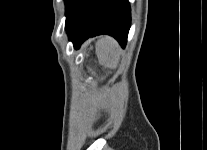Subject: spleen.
I'll list each match as a JSON object with an SVG mask.
<instances>
[{
    "mask_svg": "<svg viewBox=\"0 0 207 150\" xmlns=\"http://www.w3.org/2000/svg\"><path fill=\"white\" fill-rule=\"evenodd\" d=\"M96 54L101 63L116 68L119 62L120 48L113 38L103 36L96 43Z\"/></svg>",
    "mask_w": 207,
    "mask_h": 150,
    "instance_id": "3e777b00",
    "label": "spleen"
}]
</instances>
